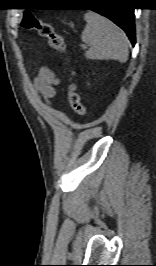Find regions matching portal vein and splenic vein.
<instances>
[{
	"instance_id": "portal-vein-and-splenic-vein-1",
	"label": "portal vein and splenic vein",
	"mask_w": 156,
	"mask_h": 266,
	"mask_svg": "<svg viewBox=\"0 0 156 266\" xmlns=\"http://www.w3.org/2000/svg\"><path fill=\"white\" fill-rule=\"evenodd\" d=\"M82 47H83V49H86V48H87V46H86V45H83Z\"/></svg>"
}]
</instances>
